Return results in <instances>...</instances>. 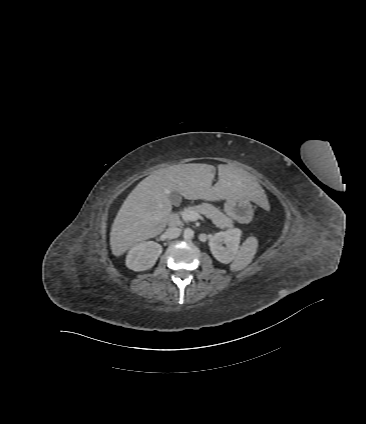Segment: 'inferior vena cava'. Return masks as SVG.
<instances>
[{
    "label": "inferior vena cava",
    "mask_w": 366,
    "mask_h": 424,
    "mask_svg": "<svg viewBox=\"0 0 366 424\" xmlns=\"http://www.w3.org/2000/svg\"><path fill=\"white\" fill-rule=\"evenodd\" d=\"M165 234L169 239H175L181 234V229L178 227H169Z\"/></svg>",
    "instance_id": "1"
}]
</instances>
